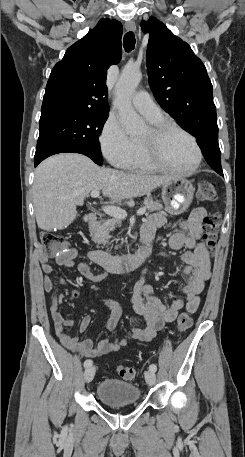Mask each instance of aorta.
I'll use <instances>...</instances> for the list:
<instances>
[{
    "label": "aorta",
    "mask_w": 245,
    "mask_h": 457,
    "mask_svg": "<svg viewBox=\"0 0 245 457\" xmlns=\"http://www.w3.org/2000/svg\"><path fill=\"white\" fill-rule=\"evenodd\" d=\"M141 78L142 74L138 68L127 66L123 69L115 87L116 96L113 105L118 110L121 123L131 135L140 134L146 129L144 121L131 104L132 96Z\"/></svg>",
    "instance_id": "obj_1"
}]
</instances>
